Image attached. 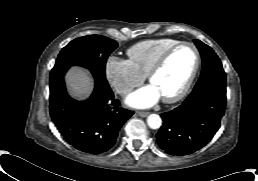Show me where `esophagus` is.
Listing matches in <instances>:
<instances>
[{"label": "esophagus", "mask_w": 258, "mask_h": 181, "mask_svg": "<svg viewBox=\"0 0 258 181\" xmlns=\"http://www.w3.org/2000/svg\"><path fill=\"white\" fill-rule=\"evenodd\" d=\"M138 115L141 116V117H146V116L149 115V112L139 111V112H138Z\"/></svg>", "instance_id": "34e87169"}]
</instances>
